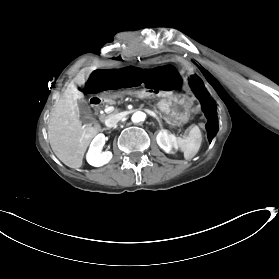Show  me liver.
Listing matches in <instances>:
<instances>
[{
	"mask_svg": "<svg viewBox=\"0 0 279 279\" xmlns=\"http://www.w3.org/2000/svg\"><path fill=\"white\" fill-rule=\"evenodd\" d=\"M89 69L82 70L68 85L50 113L48 138L55 155L68 167L80 168L92 138L101 130L82 126L77 100L84 97L75 84L83 85Z\"/></svg>",
	"mask_w": 279,
	"mask_h": 279,
	"instance_id": "liver-1",
	"label": "liver"
}]
</instances>
